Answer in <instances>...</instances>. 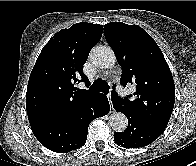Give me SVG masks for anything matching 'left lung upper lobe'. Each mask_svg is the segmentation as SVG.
Masks as SVG:
<instances>
[{
  "label": "left lung upper lobe",
  "instance_id": "obj_1",
  "mask_svg": "<svg viewBox=\"0 0 196 166\" xmlns=\"http://www.w3.org/2000/svg\"><path fill=\"white\" fill-rule=\"evenodd\" d=\"M104 34L122 67L120 83L136 85L135 99L129 100L131 95L122 99L113 90L112 103L144 121L166 127L174 107L175 85L160 48L138 25L108 23Z\"/></svg>",
  "mask_w": 196,
  "mask_h": 166
}]
</instances>
